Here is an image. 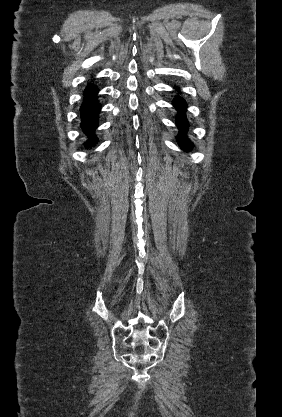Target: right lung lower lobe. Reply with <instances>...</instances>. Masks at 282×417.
<instances>
[{
  "label": "right lung lower lobe",
  "instance_id": "1",
  "mask_svg": "<svg viewBox=\"0 0 282 417\" xmlns=\"http://www.w3.org/2000/svg\"><path fill=\"white\" fill-rule=\"evenodd\" d=\"M97 92L98 89L89 84L84 91V102L80 108L81 128L88 137V140L84 143L87 148L95 145L98 140L95 129L98 126V114L101 105L97 100Z\"/></svg>",
  "mask_w": 282,
  "mask_h": 417
}]
</instances>
